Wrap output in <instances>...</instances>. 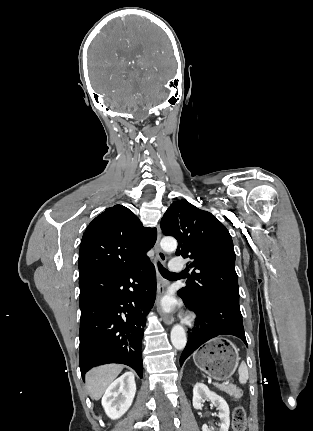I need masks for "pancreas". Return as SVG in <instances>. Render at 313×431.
Here are the masks:
<instances>
[{"mask_svg": "<svg viewBox=\"0 0 313 431\" xmlns=\"http://www.w3.org/2000/svg\"><path fill=\"white\" fill-rule=\"evenodd\" d=\"M218 388L221 391L226 392L227 394H229L230 396H241L242 391L240 389H238L235 385H218Z\"/></svg>", "mask_w": 313, "mask_h": 431, "instance_id": "1", "label": "pancreas"}]
</instances>
